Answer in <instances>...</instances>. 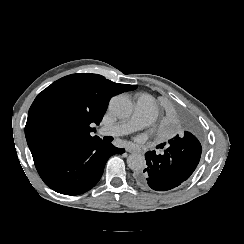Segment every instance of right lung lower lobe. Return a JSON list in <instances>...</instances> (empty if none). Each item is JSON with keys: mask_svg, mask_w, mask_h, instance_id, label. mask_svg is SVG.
I'll list each match as a JSON object with an SVG mask.
<instances>
[{"mask_svg": "<svg viewBox=\"0 0 244 244\" xmlns=\"http://www.w3.org/2000/svg\"><path fill=\"white\" fill-rule=\"evenodd\" d=\"M124 151L96 136L83 143L51 146L31 153L40 177L51 189L77 195L97 184L110 156Z\"/></svg>", "mask_w": 244, "mask_h": 244, "instance_id": "right-lung-lower-lobe-1", "label": "right lung lower lobe"}]
</instances>
